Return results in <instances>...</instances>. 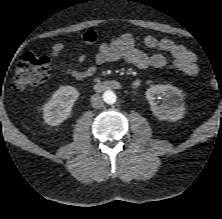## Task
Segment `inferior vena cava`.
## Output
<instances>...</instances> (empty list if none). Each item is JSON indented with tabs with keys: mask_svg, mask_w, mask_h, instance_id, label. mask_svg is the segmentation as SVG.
I'll use <instances>...</instances> for the list:
<instances>
[{
	"mask_svg": "<svg viewBox=\"0 0 222 219\" xmlns=\"http://www.w3.org/2000/svg\"><path fill=\"white\" fill-rule=\"evenodd\" d=\"M91 105L93 108H96V109H100L103 107L104 102H103V99L100 97V95L94 94L91 97Z\"/></svg>",
	"mask_w": 222,
	"mask_h": 219,
	"instance_id": "inferior-vena-cava-1",
	"label": "inferior vena cava"
}]
</instances>
